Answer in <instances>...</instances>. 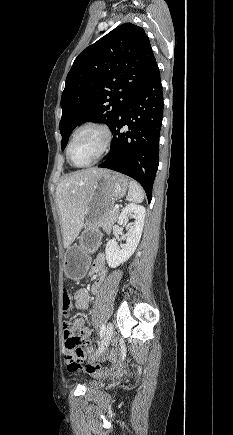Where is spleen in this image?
Wrapping results in <instances>:
<instances>
[{
    "mask_svg": "<svg viewBox=\"0 0 233 435\" xmlns=\"http://www.w3.org/2000/svg\"><path fill=\"white\" fill-rule=\"evenodd\" d=\"M128 198L131 202L141 203L144 200V192L141 186L134 180L129 182Z\"/></svg>",
    "mask_w": 233,
    "mask_h": 435,
    "instance_id": "3e777b00",
    "label": "spleen"
}]
</instances>
